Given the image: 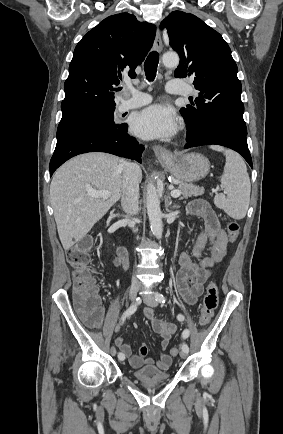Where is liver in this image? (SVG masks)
<instances>
[{"label":"liver","mask_w":283,"mask_h":434,"mask_svg":"<svg viewBox=\"0 0 283 434\" xmlns=\"http://www.w3.org/2000/svg\"><path fill=\"white\" fill-rule=\"evenodd\" d=\"M123 159L92 152L74 157L54 174L50 201L60 241L65 250L81 240L122 196ZM142 180V172L138 174ZM108 191L109 198H95L88 190Z\"/></svg>","instance_id":"1"}]
</instances>
